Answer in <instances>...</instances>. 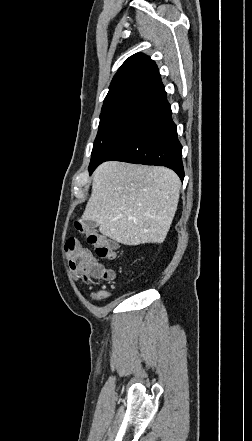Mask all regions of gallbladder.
I'll use <instances>...</instances> for the list:
<instances>
[{
  "instance_id": "1",
  "label": "gallbladder",
  "mask_w": 252,
  "mask_h": 441,
  "mask_svg": "<svg viewBox=\"0 0 252 441\" xmlns=\"http://www.w3.org/2000/svg\"><path fill=\"white\" fill-rule=\"evenodd\" d=\"M85 225L89 229H95L98 226L97 222H95V221H86Z\"/></svg>"
}]
</instances>
